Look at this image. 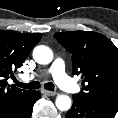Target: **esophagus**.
<instances>
[{
  "mask_svg": "<svg viewBox=\"0 0 118 118\" xmlns=\"http://www.w3.org/2000/svg\"><path fill=\"white\" fill-rule=\"evenodd\" d=\"M42 92L47 96H55L56 92L48 91V90H42Z\"/></svg>",
  "mask_w": 118,
  "mask_h": 118,
  "instance_id": "34e87169",
  "label": "esophagus"
}]
</instances>
